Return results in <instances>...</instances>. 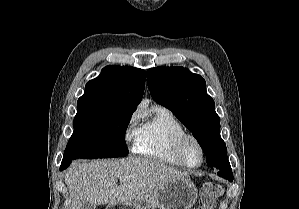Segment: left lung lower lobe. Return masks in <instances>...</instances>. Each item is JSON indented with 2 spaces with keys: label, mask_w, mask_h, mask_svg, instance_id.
Here are the masks:
<instances>
[{
  "label": "left lung lower lobe",
  "mask_w": 299,
  "mask_h": 209,
  "mask_svg": "<svg viewBox=\"0 0 299 209\" xmlns=\"http://www.w3.org/2000/svg\"><path fill=\"white\" fill-rule=\"evenodd\" d=\"M218 176L228 179L229 181H233V174L230 165L222 168L218 173Z\"/></svg>",
  "instance_id": "obj_1"
}]
</instances>
